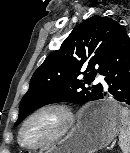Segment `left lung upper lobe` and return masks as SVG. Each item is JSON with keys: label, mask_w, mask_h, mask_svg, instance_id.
<instances>
[{"label": "left lung upper lobe", "mask_w": 130, "mask_h": 153, "mask_svg": "<svg viewBox=\"0 0 130 153\" xmlns=\"http://www.w3.org/2000/svg\"><path fill=\"white\" fill-rule=\"evenodd\" d=\"M124 30L115 20L93 16L77 25L59 50L50 53L33 74L21 100L19 125L31 112L56 102L89 103L99 99L100 84L90 85L100 73ZM80 74L84 79H78Z\"/></svg>", "instance_id": "5c2ea615"}]
</instances>
